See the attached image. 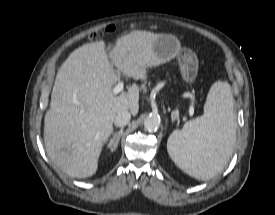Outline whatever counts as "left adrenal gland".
Instances as JSON below:
<instances>
[{"label":"left adrenal gland","instance_id":"obj_1","mask_svg":"<svg viewBox=\"0 0 275 215\" xmlns=\"http://www.w3.org/2000/svg\"><path fill=\"white\" fill-rule=\"evenodd\" d=\"M171 121H177V124H179V111L177 109L171 112Z\"/></svg>","mask_w":275,"mask_h":215}]
</instances>
